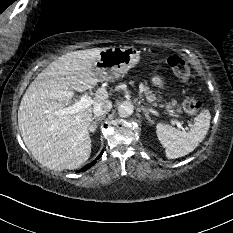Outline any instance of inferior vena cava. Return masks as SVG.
<instances>
[{"label": "inferior vena cava", "instance_id": "602c4592", "mask_svg": "<svg viewBox=\"0 0 233 233\" xmlns=\"http://www.w3.org/2000/svg\"><path fill=\"white\" fill-rule=\"evenodd\" d=\"M111 108H112V102L109 100H105L103 102L96 104L93 108V112L95 116H101L108 113L111 110Z\"/></svg>", "mask_w": 233, "mask_h": 233}]
</instances>
